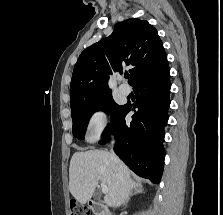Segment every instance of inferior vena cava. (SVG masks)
<instances>
[{"mask_svg":"<svg viewBox=\"0 0 223 215\" xmlns=\"http://www.w3.org/2000/svg\"><path fill=\"white\" fill-rule=\"evenodd\" d=\"M112 143H113V141H112ZM110 155H111L112 159H117V157H116L114 151H111Z\"/></svg>","mask_w":223,"mask_h":215,"instance_id":"602c4592","label":"inferior vena cava"}]
</instances>
